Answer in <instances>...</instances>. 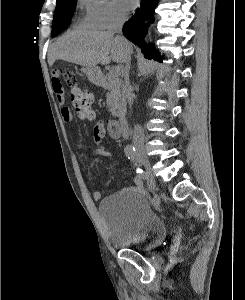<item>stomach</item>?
<instances>
[{"mask_svg": "<svg viewBox=\"0 0 245 300\" xmlns=\"http://www.w3.org/2000/svg\"><path fill=\"white\" fill-rule=\"evenodd\" d=\"M82 71L91 81H96L99 78L100 71L97 67H85L82 68Z\"/></svg>", "mask_w": 245, "mask_h": 300, "instance_id": "0dacf381", "label": "stomach"}]
</instances>
